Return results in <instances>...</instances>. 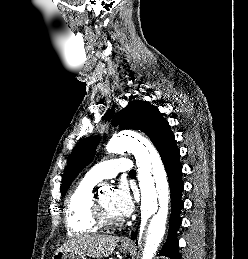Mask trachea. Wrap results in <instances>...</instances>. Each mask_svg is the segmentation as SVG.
Segmentation results:
<instances>
[{"instance_id":"trachea-1","label":"trachea","mask_w":248,"mask_h":259,"mask_svg":"<svg viewBox=\"0 0 248 259\" xmlns=\"http://www.w3.org/2000/svg\"><path fill=\"white\" fill-rule=\"evenodd\" d=\"M129 174H130V175L136 174V171H135V170H131V171L129 172Z\"/></svg>"}]
</instances>
